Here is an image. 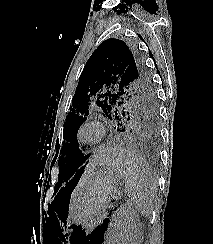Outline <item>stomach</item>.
Returning <instances> with one entry per match:
<instances>
[{
  "label": "stomach",
  "instance_id": "obj_1",
  "mask_svg": "<svg viewBox=\"0 0 213 244\" xmlns=\"http://www.w3.org/2000/svg\"><path fill=\"white\" fill-rule=\"evenodd\" d=\"M111 155L102 164L103 168L88 173L87 179L76 191L75 210L68 220L83 223L95 218L114 198L121 178L111 167Z\"/></svg>",
  "mask_w": 213,
  "mask_h": 244
}]
</instances>
